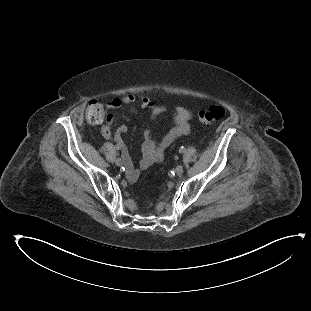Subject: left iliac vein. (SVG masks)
Returning a JSON list of instances; mask_svg holds the SVG:
<instances>
[{
	"label": "left iliac vein",
	"mask_w": 311,
	"mask_h": 311,
	"mask_svg": "<svg viewBox=\"0 0 311 311\" xmlns=\"http://www.w3.org/2000/svg\"><path fill=\"white\" fill-rule=\"evenodd\" d=\"M175 173L177 175H181L183 173V166L182 165H178L176 168H175Z\"/></svg>",
	"instance_id": "obj_1"
}]
</instances>
